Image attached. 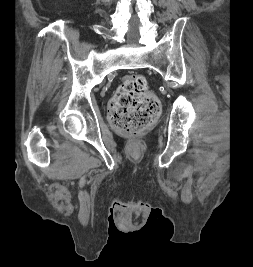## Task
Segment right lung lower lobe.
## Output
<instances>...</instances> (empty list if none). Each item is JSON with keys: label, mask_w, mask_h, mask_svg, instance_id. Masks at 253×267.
<instances>
[{"label": "right lung lower lobe", "mask_w": 253, "mask_h": 267, "mask_svg": "<svg viewBox=\"0 0 253 267\" xmlns=\"http://www.w3.org/2000/svg\"><path fill=\"white\" fill-rule=\"evenodd\" d=\"M151 216H161V210H152Z\"/></svg>", "instance_id": "1"}]
</instances>
